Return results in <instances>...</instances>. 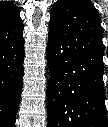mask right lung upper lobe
<instances>
[{
  "mask_svg": "<svg viewBox=\"0 0 108 127\" xmlns=\"http://www.w3.org/2000/svg\"><path fill=\"white\" fill-rule=\"evenodd\" d=\"M19 9L12 2H0V23L19 19Z\"/></svg>",
  "mask_w": 108,
  "mask_h": 127,
  "instance_id": "right-lung-upper-lobe-1",
  "label": "right lung upper lobe"
}]
</instances>
